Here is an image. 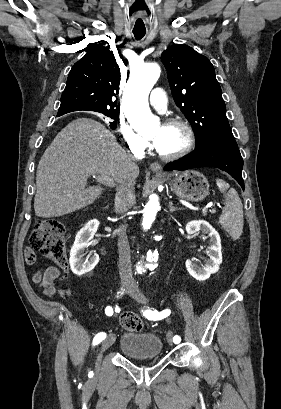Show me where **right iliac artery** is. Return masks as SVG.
<instances>
[{
    "label": "right iliac artery",
    "mask_w": 281,
    "mask_h": 409,
    "mask_svg": "<svg viewBox=\"0 0 281 409\" xmlns=\"http://www.w3.org/2000/svg\"><path fill=\"white\" fill-rule=\"evenodd\" d=\"M124 294V290L121 289V291L117 292V297L122 296ZM105 313L108 316H111L113 314V309L111 306L106 307L105 309ZM106 338V334L101 332L98 333L93 340V344L97 345L98 343H100L102 340H104Z\"/></svg>",
    "instance_id": "obj_1"
}]
</instances>
